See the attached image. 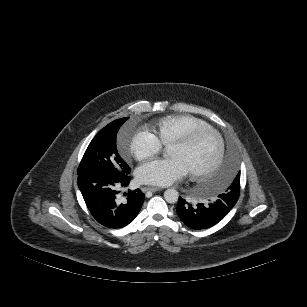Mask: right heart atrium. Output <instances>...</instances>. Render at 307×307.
<instances>
[{
	"instance_id": "right-heart-atrium-1",
	"label": "right heart atrium",
	"mask_w": 307,
	"mask_h": 307,
	"mask_svg": "<svg viewBox=\"0 0 307 307\" xmlns=\"http://www.w3.org/2000/svg\"><path fill=\"white\" fill-rule=\"evenodd\" d=\"M119 139L127 145L130 154L136 159L153 156L162 149V143L158 137L146 128L138 129L128 140L123 136H119Z\"/></svg>"
}]
</instances>
